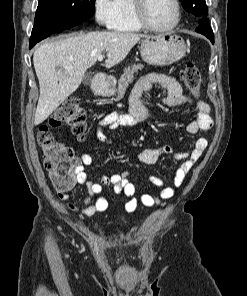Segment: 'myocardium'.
Returning <instances> with one entry per match:
<instances>
[{"label":"myocardium","mask_w":247,"mask_h":296,"mask_svg":"<svg viewBox=\"0 0 247 296\" xmlns=\"http://www.w3.org/2000/svg\"><path fill=\"white\" fill-rule=\"evenodd\" d=\"M171 1L175 9L174 19L172 23L165 27H156L148 22L145 15L147 0H132L133 14L137 24L145 30L157 32V33L169 32L174 28H176L181 19V5L179 0H171Z\"/></svg>","instance_id":"1"}]
</instances>
